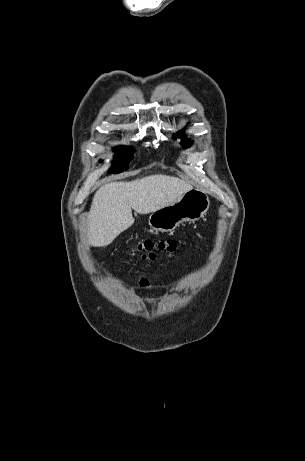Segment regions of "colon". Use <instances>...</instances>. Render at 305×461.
I'll list each match as a JSON object with an SVG mask.
<instances>
[{
    "label": "colon",
    "instance_id": "obj_1",
    "mask_svg": "<svg viewBox=\"0 0 305 461\" xmlns=\"http://www.w3.org/2000/svg\"><path fill=\"white\" fill-rule=\"evenodd\" d=\"M180 242L175 239L146 240L133 249L134 254H140L143 259H155L157 254H172Z\"/></svg>",
    "mask_w": 305,
    "mask_h": 461
}]
</instances>
